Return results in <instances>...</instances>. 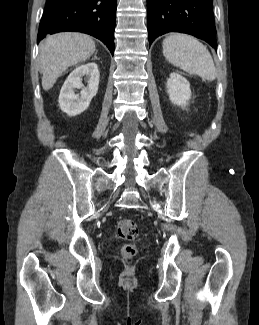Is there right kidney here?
Returning a JSON list of instances; mask_svg holds the SVG:
<instances>
[{"label": "right kidney", "instance_id": "obj_1", "mask_svg": "<svg viewBox=\"0 0 259 325\" xmlns=\"http://www.w3.org/2000/svg\"><path fill=\"white\" fill-rule=\"evenodd\" d=\"M88 76V85L84 87L82 77ZM99 70L94 62L78 66L64 82L60 95L59 105L61 110L69 116H76L84 112L90 105L92 98L97 94L99 86ZM75 89H81L80 94H75Z\"/></svg>", "mask_w": 259, "mask_h": 325}]
</instances>
